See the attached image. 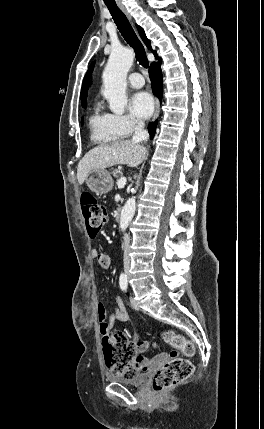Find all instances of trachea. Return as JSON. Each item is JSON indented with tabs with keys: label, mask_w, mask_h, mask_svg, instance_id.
Returning a JSON list of instances; mask_svg holds the SVG:
<instances>
[{
	"label": "trachea",
	"mask_w": 264,
	"mask_h": 429,
	"mask_svg": "<svg viewBox=\"0 0 264 429\" xmlns=\"http://www.w3.org/2000/svg\"><path fill=\"white\" fill-rule=\"evenodd\" d=\"M114 22L116 23L121 35L124 37L126 42L134 49L137 61L139 64L148 68V59L146 56L145 49L135 34L131 24L124 15V13L118 8L116 4L106 3Z\"/></svg>",
	"instance_id": "3493384b"
}]
</instances>
